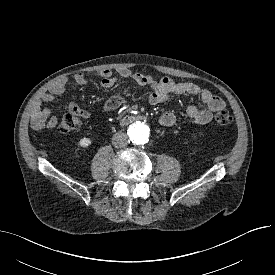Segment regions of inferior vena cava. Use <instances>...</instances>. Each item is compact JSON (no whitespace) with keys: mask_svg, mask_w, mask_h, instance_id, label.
<instances>
[{"mask_svg":"<svg viewBox=\"0 0 275 275\" xmlns=\"http://www.w3.org/2000/svg\"><path fill=\"white\" fill-rule=\"evenodd\" d=\"M112 144L116 148L125 147L128 144V136L124 132H117L112 137Z\"/></svg>","mask_w":275,"mask_h":275,"instance_id":"1","label":"inferior vena cava"}]
</instances>
